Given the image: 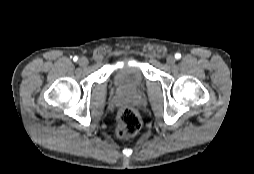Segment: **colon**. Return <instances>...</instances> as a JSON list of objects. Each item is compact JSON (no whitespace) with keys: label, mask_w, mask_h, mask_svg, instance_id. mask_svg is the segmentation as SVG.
Masks as SVG:
<instances>
[{"label":"colon","mask_w":254,"mask_h":174,"mask_svg":"<svg viewBox=\"0 0 254 174\" xmlns=\"http://www.w3.org/2000/svg\"><path fill=\"white\" fill-rule=\"evenodd\" d=\"M142 126L140 116L131 108H123L118 115L116 135L120 138H128L139 132Z\"/></svg>","instance_id":"obj_1"}]
</instances>
